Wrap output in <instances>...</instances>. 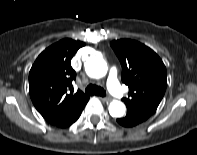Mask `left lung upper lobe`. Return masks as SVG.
<instances>
[{"label":"left lung upper lobe","mask_w":197,"mask_h":155,"mask_svg":"<svg viewBox=\"0 0 197 155\" xmlns=\"http://www.w3.org/2000/svg\"><path fill=\"white\" fill-rule=\"evenodd\" d=\"M110 45L122 65V82L129 87L128 98L122 99L127 112L147 120L164 96L166 67L152 49L137 41L121 39Z\"/></svg>","instance_id":"obj_1"}]
</instances>
